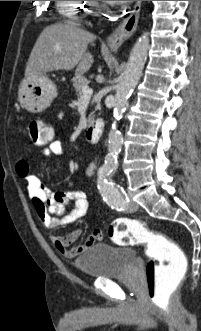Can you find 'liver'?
<instances>
[{
    "label": "liver",
    "mask_w": 201,
    "mask_h": 331,
    "mask_svg": "<svg viewBox=\"0 0 201 331\" xmlns=\"http://www.w3.org/2000/svg\"><path fill=\"white\" fill-rule=\"evenodd\" d=\"M96 36L73 22L47 26L38 37L29 56L25 78H37L57 70H72L77 76L87 72L94 62L87 46Z\"/></svg>",
    "instance_id": "1"
}]
</instances>
